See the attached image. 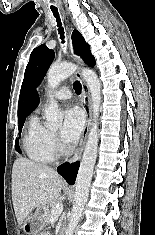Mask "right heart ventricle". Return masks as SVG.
Masks as SVG:
<instances>
[{
  "label": "right heart ventricle",
  "mask_w": 155,
  "mask_h": 235,
  "mask_svg": "<svg viewBox=\"0 0 155 235\" xmlns=\"http://www.w3.org/2000/svg\"><path fill=\"white\" fill-rule=\"evenodd\" d=\"M50 130L39 117L29 119L23 146L28 158L36 163H50L54 159V148L50 141Z\"/></svg>",
  "instance_id": "right-heart-ventricle-1"
}]
</instances>
